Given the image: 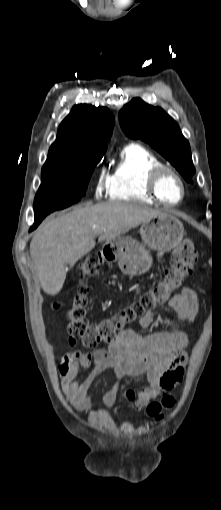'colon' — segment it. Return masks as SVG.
<instances>
[{
    "label": "colon",
    "mask_w": 221,
    "mask_h": 510,
    "mask_svg": "<svg viewBox=\"0 0 221 510\" xmlns=\"http://www.w3.org/2000/svg\"><path fill=\"white\" fill-rule=\"evenodd\" d=\"M197 259L198 254L193 242L182 241L173 251L170 264L164 270L163 276L154 281L148 291L119 312L99 321L89 319L88 288L84 284L79 285L67 310L69 334L73 338L79 339L86 347L115 342L120 333L127 330L139 318L170 299L172 293L191 274ZM98 264L99 258L95 255H90L82 260L79 264L81 279L86 281L93 277ZM57 306L55 305V307ZM174 405L173 396L164 395L159 401L151 402L148 405L147 413L155 420H160L163 417V412L172 409Z\"/></svg>",
    "instance_id": "1"
}]
</instances>
